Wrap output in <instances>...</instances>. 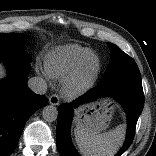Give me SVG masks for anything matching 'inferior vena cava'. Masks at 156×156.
<instances>
[{"instance_id": "inferior-vena-cava-1", "label": "inferior vena cava", "mask_w": 156, "mask_h": 156, "mask_svg": "<svg viewBox=\"0 0 156 156\" xmlns=\"http://www.w3.org/2000/svg\"><path fill=\"white\" fill-rule=\"evenodd\" d=\"M28 87L36 94H45L47 83L41 77H33L28 80Z\"/></svg>"}]
</instances>
